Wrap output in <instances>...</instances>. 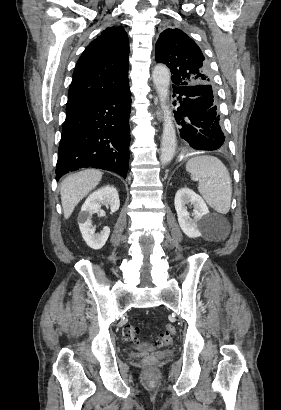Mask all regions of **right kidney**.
<instances>
[{
	"label": "right kidney",
	"mask_w": 281,
	"mask_h": 410,
	"mask_svg": "<svg viewBox=\"0 0 281 410\" xmlns=\"http://www.w3.org/2000/svg\"><path fill=\"white\" fill-rule=\"evenodd\" d=\"M110 207L111 212H116L120 206V200L116 188L104 186L88 196L82 205L78 216L79 228L86 244L94 250L101 249L110 234L109 227H104L100 233H95L92 226V215L101 211V205Z\"/></svg>",
	"instance_id": "ca27d5eb"
}]
</instances>
